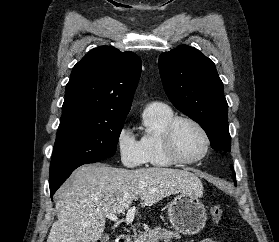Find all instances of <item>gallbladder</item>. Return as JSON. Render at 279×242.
I'll return each mask as SVG.
<instances>
[{
    "instance_id": "bac80fb5",
    "label": "gallbladder",
    "mask_w": 279,
    "mask_h": 242,
    "mask_svg": "<svg viewBox=\"0 0 279 242\" xmlns=\"http://www.w3.org/2000/svg\"><path fill=\"white\" fill-rule=\"evenodd\" d=\"M109 240V235L108 234H102L100 237L101 242H107Z\"/></svg>"
}]
</instances>
